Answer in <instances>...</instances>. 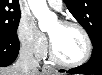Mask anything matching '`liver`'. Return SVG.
<instances>
[{"mask_svg": "<svg viewBox=\"0 0 102 75\" xmlns=\"http://www.w3.org/2000/svg\"><path fill=\"white\" fill-rule=\"evenodd\" d=\"M0 75H24L22 71L16 66V64L10 66V67H5L0 69ZM30 75H40L38 71L33 72Z\"/></svg>", "mask_w": 102, "mask_h": 75, "instance_id": "1", "label": "liver"}]
</instances>
